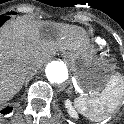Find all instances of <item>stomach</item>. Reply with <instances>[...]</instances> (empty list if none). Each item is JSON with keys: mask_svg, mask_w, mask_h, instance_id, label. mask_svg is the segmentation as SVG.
Listing matches in <instances>:
<instances>
[{"mask_svg": "<svg viewBox=\"0 0 124 124\" xmlns=\"http://www.w3.org/2000/svg\"><path fill=\"white\" fill-rule=\"evenodd\" d=\"M110 72L111 68L106 67L104 64L86 71L82 70L79 72V85L84 91L96 94L107 80L109 84L115 78Z\"/></svg>", "mask_w": 124, "mask_h": 124, "instance_id": "0dacf381", "label": "stomach"}]
</instances>
